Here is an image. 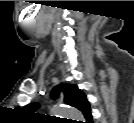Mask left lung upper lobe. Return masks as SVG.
I'll list each match as a JSON object with an SVG mask.
<instances>
[{"mask_svg": "<svg viewBox=\"0 0 134 123\" xmlns=\"http://www.w3.org/2000/svg\"><path fill=\"white\" fill-rule=\"evenodd\" d=\"M60 91L64 94L65 104L71 105L80 110L85 116L87 122L92 120L91 109L86 95L76 85L65 83L58 85L53 89L52 97L56 98ZM37 106V104H29L25 107V110L33 113Z\"/></svg>", "mask_w": 134, "mask_h": 123, "instance_id": "obj_1", "label": "left lung upper lobe"}]
</instances>
